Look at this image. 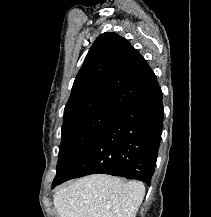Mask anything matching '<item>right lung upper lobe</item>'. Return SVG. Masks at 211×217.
I'll return each instance as SVG.
<instances>
[{
    "label": "right lung upper lobe",
    "instance_id": "cb5924a9",
    "mask_svg": "<svg viewBox=\"0 0 211 217\" xmlns=\"http://www.w3.org/2000/svg\"><path fill=\"white\" fill-rule=\"evenodd\" d=\"M157 84L150 66L128 40L116 33H103L76 76L64 122L97 112L118 114Z\"/></svg>",
    "mask_w": 211,
    "mask_h": 217
}]
</instances>
